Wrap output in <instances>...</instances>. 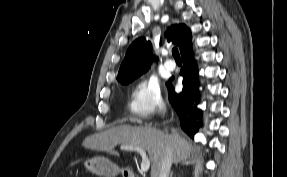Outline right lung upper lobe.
<instances>
[{
  "label": "right lung upper lobe",
  "mask_w": 287,
  "mask_h": 177,
  "mask_svg": "<svg viewBox=\"0 0 287 177\" xmlns=\"http://www.w3.org/2000/svg\"><path fill=\"white\" fill-rule=\"evenodd\" d=\"M165 36L168 41L179 46L181 54L191 41V32L184 24L172 25ZM152 59L157 60L152 54L151 42L144 37L135 39L126 52L117 80L121 83L134 80L149 69Z\"/></svg>",
  "instance_id": "obj_1"
}]
</instances>
